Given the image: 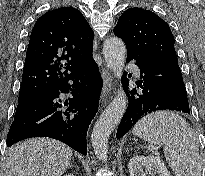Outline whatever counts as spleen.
<instances>
[{
  "label": "spleen",
  "mask_w": 205,
  "mask_h": 176,
  "mask_svg": "<svg viewBox=\"0 0 205 176\" xmlns=\"http://www.w3.org/2000/svg\"><path fill=\"white\" fill-rule=\"evenodd\" d=\"M132 133L150 143L163 145L166 161L175 176H201L198 136L177 113H151L136 123Z\"/></svg>",
  "instance_id": "1"
}]
</instances>
